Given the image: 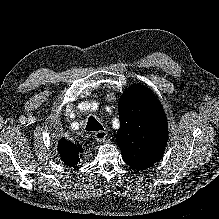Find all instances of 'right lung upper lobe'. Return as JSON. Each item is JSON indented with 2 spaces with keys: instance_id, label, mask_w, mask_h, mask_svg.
Wrapping results in <instances>:
<instances>
[{
  "instance_id": "1",
  "label": "right lung upper lobe",
  "mask_w": 219,
  "mask_h": 219,
  "mask_svg": "<svg viewBox=\"0 0 219 219\" xmlns=\"http://www.w3.org/2000/svg\"><path fill=\"white\" fill-rule=\"evenodd\" d=\"M58 151L63 162L72 167L79 162V154L83 152V149L80 145H75L71 141L62 138L58 144Z\"/></svg>"
}]
</instances>
